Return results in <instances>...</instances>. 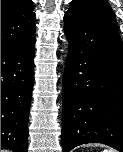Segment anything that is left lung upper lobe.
<instances>
[{"instance_id":"1","label":"left lung upper lobe","mask_w":123,"mask_h":152,"mask_svg":"<svg viewBox=\"0 0 123 152\" xmlns=\"http://www.w3.org/2000/svg\"><path fill=\"white\" fill-rule=\"evenodd\" d=\"M77 7H84L117 27L115 15L106 0H73L69 10Z\"/></svg>"}]
</instances>
